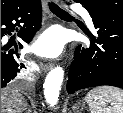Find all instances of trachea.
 Instances as JSON below:
<instances>
[{"label":"trachea","instance_id":"trachea-1","mask_svg":"<svg viewBox=\"0 0 123 113\" xmlns=\"http://www.w3.org/2000/svg\"><path fill=\"white\" fill-rule=\"evenodd\" d=\"M49 7L50 10L59 17L72 18V16L69 13H67L66 11H64L54 3H49Z\"/></svg>","mask_w":123,"mask_h":113}]
</instances>
